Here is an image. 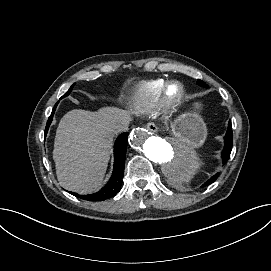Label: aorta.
I'll return each instance as SVG.
<instances>
[{
  "label": "aorta",
  "mask_w": 271,
  "mask_h": 271,
  "mask_svg": "<svg viewBox=\"0 0 271 271\" xmlns=\"http://www.w3.org/2000/svg\"><path fill=\"white\" fill-rule=\"evenodd\" d=\"M129 142L136 151L160 165L163 174L172 181L190 179L200 165L195 146L182 137L163 139L151 136L144 128H136L131 132Z\"/></svg>",
  "instance_id": "aorta-1"
}]
</instances>
